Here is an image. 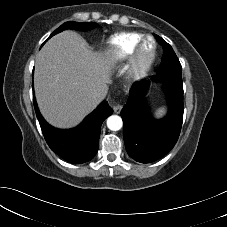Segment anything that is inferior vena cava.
Segmentation results:
<instances>
[{
	"label": "inferior vena cava",
	"instance_id": "inferior-vena-cava-1",
	"mask_svg": "<svg viewBox=\"0 0 227 227\" xmlns=\"http://www.w3.org/2000/svg\"><path fill=\"white\" fill-rule=\"evenodd\" d=\"M106 93H107L106 88L99 89L92 94V98L95 102L99 103L105 98Z\"/></svg>",
	"mask_w": 227,
	"mask_h": 227
}]
</instances>
